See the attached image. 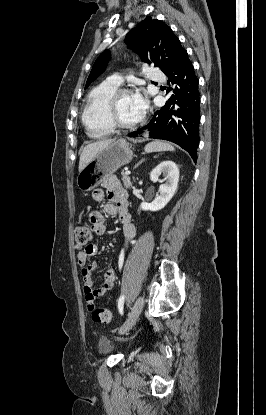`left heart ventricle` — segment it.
<instances>
[{
    "label": "left heart ventricle",
    "instance_id": "left-heart-ventricle-1",
    "mask_svg": "<svg viewBox=\"0 0 266 415\" xmlns=\"http://www.w3.org/2000/svg\"><path fill=\"white\" fill-rule=\"evenodd\" d=\"M117 115L126 124L135 123L141 118L142 114L136 109L131 94H126L119 98Z\"/></svg>",
    "mask_w": 266,
    "mask_h": 415
}]
</instances>
